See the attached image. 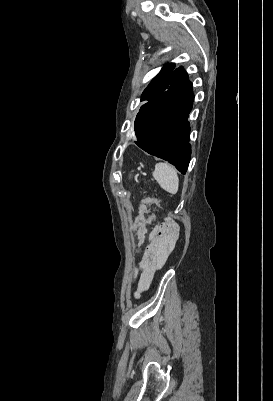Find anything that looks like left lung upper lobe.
<instances>
[{"mask_svg":"<svg viewBox=\"0 0 273 401\" xmlns=\"http://www.w3.org/2000/svg\"><path fill=\"white\" fill-rule=\"evenodd\" d=\"M175 64L167 63L163 66L160 73L150 82L141 96V101H150L157 95L166 91L171 83Z\"/></svg>","mask_w":273,"mask_h":401,"instance_id":"obj_1","label":"left lung upper lobe"}]
</instances>
